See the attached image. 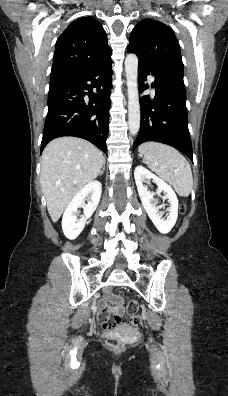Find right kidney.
Listing matches in <instances>:
<instances>
[{"instance_id": "right-kidney-1", "label": "right kidney", "mask_w": 228, "mask_h": 396, "mask_svg": "<svg viewBox=\"0 0 228 396\" xmlns=\"http://www.w3.org/2000/svg\"><path fill=\"white\" fill-rule=\"evenodd\" d=\"M102 193V185L99 181H91L86 184L71 200L62 218L64 235L73 240L79 236L85 226L86 220L96 210ZM87 201V204L85 203ZM83 208L84 215L78 219V208Z\"/></svg>"}]
</instances>
